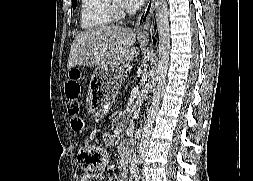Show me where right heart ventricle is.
<instances>
[{
    "mask_svg": "<svg viewBox=\"0 0 253 181\" xmlns=\"http://www.w3.org/2000/svg\"><path fill=\"white\" fill-rule=\"evenodd\" d=\"M113 17L109 10L108 0H80V26L93 30L108 26Z\"/></svg>",
    "mask_w": 253,
    "mask_h": 181,
    "instance_id": "right-heart-ventricle-1",
    "label": "right heart ventricle"
}]
</instances>
